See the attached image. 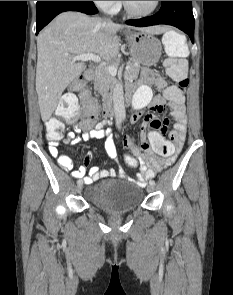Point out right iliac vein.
I'll list each match as a JSON object with an SVG mask.
<instances>
[{
    "label": "right iliac vein",
    "mask_w": 233,
    "mask_h": 295,
    "mask_svg": "<svg viewBox=\"0 0 233 295\" xmlns=\"http://www.w3.org/2000/svg\"><path fill=\"white\" fill-rule=\"evenodd\" d=\"M83 189V180L82 179H79L77 181V192L80 193Z\"/></svg>",
    "instance_id": "obj_1"
}]
</instances>
